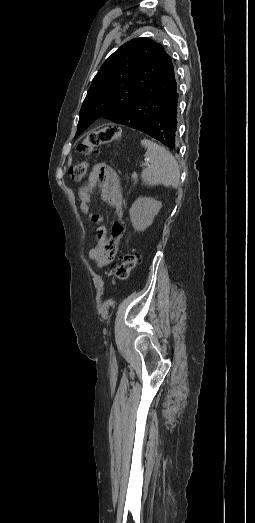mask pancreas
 I'll list each match as a JSON object with an SVG mask.
<instances>
[{
	"instance_id": "pancreas-1",
	"label": "pancreas",
	"mask_w": 255,
	"mask_h": 523,
	"mask_svg": "<svg viewBox=\"0 0 255 523\" xmlns=\"http://www.w3.org/2000/svg\"><path fill=\"white\" fill-rule=\"evenodd\" d=\"M132 178H133V180H135V182H136V180H137V178H138L137 174H133Z\"/></svg>"
}]
</instances>
